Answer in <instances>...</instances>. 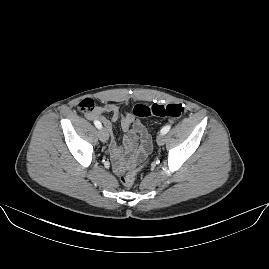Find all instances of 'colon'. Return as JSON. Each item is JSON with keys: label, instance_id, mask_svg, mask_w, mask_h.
Masks as SVG:
<instances>
[{"label": "colon", "instance_id": "obj_1", "mask_svg": "<svg viewBox=\"0 0 269 269\" xmlns=\"http://www.w3.org/2000/svg\"><path fill=\"white\" fill-rule=\"evenodd\" d=\"M94 102L90 99H83L79 108L81 111H92L94 109ZM185 108L182 104H160L153 103L150 105L147 104H136L132 110L131 115L134 118H148V117H158L162 119H177L185 115ZM138 131L141 130L137 126ZM143 144L146 150L151 148V139L149 137H144ZM139 170L134 167H129L123 174L120 176V182L125 187H130L134 184Z\"/></svg>", "mask_w": 269, "mask_h": 269}]
</instances>
